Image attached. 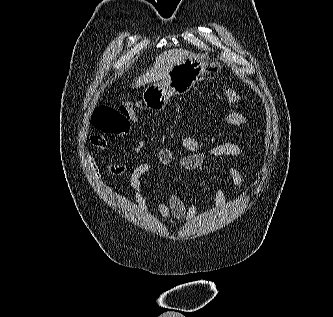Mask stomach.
I'll return each instance as SVG.
<instances>
[{
    "label": "stomach",
    "instance_id": "obj_1",
    "mask_svg": "<svg viewBox=\"0 0 333 317\" xmlns=\"http://www.w3.org/2000/svg\"><path fill=\"white\" fill-rule=\"evenodd\" d=\"M207 72L204 61L187 58L174 65L163 80L148 85L143 91V102L149 109L162 110L172 95L187 93Z\"/></svg>",
    "mask_w": 333,
    "mask_h": 317
}]
</instances>
